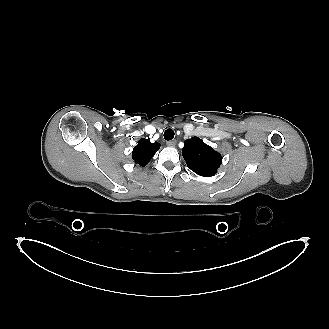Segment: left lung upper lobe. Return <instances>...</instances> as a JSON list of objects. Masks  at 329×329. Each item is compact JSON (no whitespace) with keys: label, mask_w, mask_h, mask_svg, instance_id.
Segmentation results:
<instances>
[{"label":"left lung upper lobe","mask_w":329,"mask_h":329,"mask_svg":"<svg viewBox=\"0 0 329 329\" xmlns=\"http://www.w3.org/2000/svg\"><path fill=\"white\" fill-rule=\"evenodd\" d=\"M182 155L192 171L205 177L214 176L222 163L221 155L198 137L185 141Z\"/></svg>","instance_id":"left-lung-upper-lobe-1"}]
</instances>
